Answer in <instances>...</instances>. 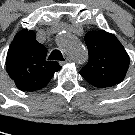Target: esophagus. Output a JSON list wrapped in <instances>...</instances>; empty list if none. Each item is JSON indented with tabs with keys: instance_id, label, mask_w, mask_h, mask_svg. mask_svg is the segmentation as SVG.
<instances>
[{
	"instance_id": "obj_1",
	"label": "esophagus",
	"mask_w": 135,
	"mask_h": 135,
	"mask_svg": "<svg viewBox=\"0 0 135 135\" xmlns=\"http://www.w3.org/2000/svg\"><path fill=\"white\" fill-rule=\"evenodd\" d=\"M72 60L70 58H66L64 61H60V65H64L66 63H70Z\"/></svg>"
}]
</instances>
